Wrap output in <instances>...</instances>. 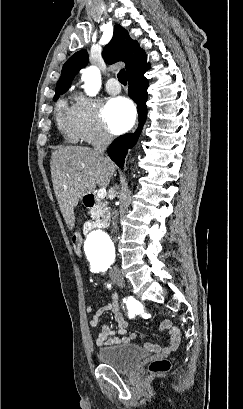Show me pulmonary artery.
Returning <instances> with one entry per match:
<instances>
[{"label": "pulmonary artery", "instance_id": "1", "mask_svg": "<svg viewBox=\"0 0 243 409\" xmlns=\"http://www.w3.org/2000/svg\"><path fill=\"white\" fill-rule=\"evenodd\" d=\"M106 90L109 94L116 95L120 93L121 91V86L117 79L115 78H110L107 83H106Z\"/></svg>", "mask_w": 243, "mask_h": 409}]
</instances>
